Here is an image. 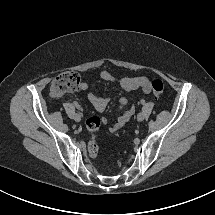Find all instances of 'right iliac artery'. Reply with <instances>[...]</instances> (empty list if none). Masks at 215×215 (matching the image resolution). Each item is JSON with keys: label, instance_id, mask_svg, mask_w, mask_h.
<instances>
[{"label": "right iliac artery", "instance_id": "1", "mask_svg": "<svg viewBox=\"0 0 215 215\" xmlns=\"http://www.w3.org/2000/svg\"><path fill=\"white\" fill-rule=\"evenodd\" d=\"M75 106H76L77 108H79V105H78L77 103H75Z\"/></svg>", "mask_w": 215, "mask_h": 215}]
</instances>
